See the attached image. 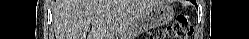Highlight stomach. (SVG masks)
Instances as JSON below:
<instances>
[{
  "label": "stomach",
  "mask_w": 249,
  "mask_h": 39,
  "mask_svg": "<svg viewBox=\"0 0 249 39\" xmlns=\"http://www.w3.org/2000/svg\"><path fill=\"white\" fill-rule=\"evenodd\" d=\"M173 17V8L164 2L157 3L137 16L131 24L126 37L134 39L153 28L168 24Z\"/></svg>",
  "instance_id": "1"
}]
</instances>
